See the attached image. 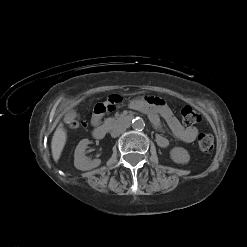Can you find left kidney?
<instances>
[{
    "instance_id": "5707ae66",
    "label": "left kidney",
    "mask_w": 247,
    "mask_h": 247,
    "mask_svg": "<svg viewBox=\"0 0 247 247\" xmlns=\"http://www.w3.org/2000/svg\"><path fill=\"white\" fill-rule=\"evenodd\" d=\"M170 158L177 164H187L190 160V155L186 149L174 147L170 150Z\"/></svg>"
}]
</instances>
